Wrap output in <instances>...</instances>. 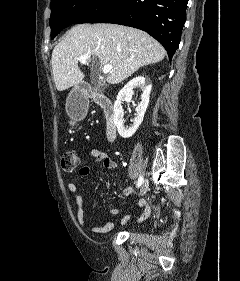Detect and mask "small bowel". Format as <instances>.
<instances>
[{"label":"small bowel","instance_id":"small-bowel-1","mask_svg":"<svg viewBox=\"0 0 240 281\" xmlns=\"http://www.w3.org/2000/svg\"><path fill=\"white\" fill-rule=\"evenodd\" d=\"M90 157L91 159L96 162L100 163L104 169L107 170H115L118 167L117 162L112 159L106 152L98 150V149H91L90 150ZM79 175L81 177H87L91 173V167L89 165H83L79 171ZM69 192L72 193L75 205H76V216L80 224L85 223L86 213H85V205L82 198L81 193L78 190V186L74 182H69L67 185ZM133 190L130 187H126L121 191V195L128 196L132 194ZM139 208H143V213L141 214L139 221H143L147 219L152 211V206L150 202L146 199H142L139 204ZM120 209L118 207L112 208L109 210L111 215H117ZM130 218V214L123 215L120 218L121 224H125ZM114 228V224L112 222H108L103 226H90L88 230L92 233H107L110 232Z\"/></svg>","mask_w":240,"mask_h":281}]
</instances>
